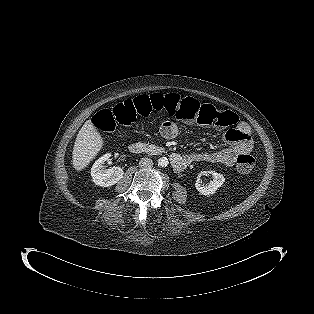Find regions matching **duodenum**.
<instances>
[{
    "mask_svg": "<svg viewBox=\"0 0 314 314\" xmlns=\"http://www.w3.org/2000/svg\"><path fill=\"white\" fill-rule=\"evenodd\" d=\"M129 151L132 154L138 155L142 154L145 151V146L140 142H134L130 144ZM171 166L173 170L181 172L187 168V166L193 162V158L190 156H183L178 153H171L169 155Z\"/></svg>",
    "mask_w": 314,
    "mask_h": 314,
    "instance_id": "obj_1",
    "label": "duodenum"
}]
</instances>
